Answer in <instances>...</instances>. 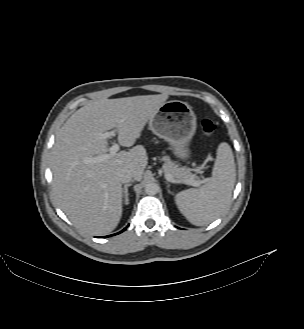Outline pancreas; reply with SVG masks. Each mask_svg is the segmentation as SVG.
Returning a JSON list of instances; mask_svg holds the SVG:
<instances>
[{"label": "pancreas", "mask_w": 304, "mask_h": 329, "mask_svg": "<svg viewBox=\"0 0 304 329\" xmlns=\"http://www.w3.org/2000/svg\"><path fill=\"white\" fill-rule=\"evenodd\" d=\"M163 170L166 174H170L173 178L184 181L188 179L195 180L197 176L193 174L191 171L192 169L187 167H180L178 164L173 162L168 156L163 158ZM200 168H196L195 170L198 171Z\"/></svg>", "instance_id": "obj_1"}]
</instances>
